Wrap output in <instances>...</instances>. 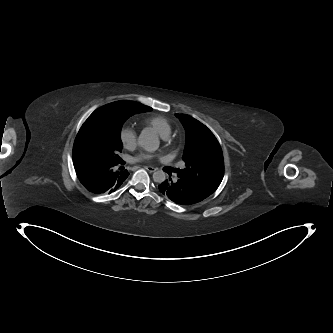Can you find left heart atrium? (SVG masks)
I'll use <instances>...</instances> for the list:
<instances>
[{
	"instance_id": "39dd6f15",
	"label": "left heart atrium",
	"mask_w": 333,
	"mask_h": 333,
	"mask_svg": "<svg viewBox=\"0 0 333 333\" xmlns=\"http://www.w3.org/2000/svg\"><path fill=\"white\" fill-rule=\"evenodd\" d=\"M156 157L152 152L143 151L134 157V161H151Z\"/></svg>"
}]
</instances>
